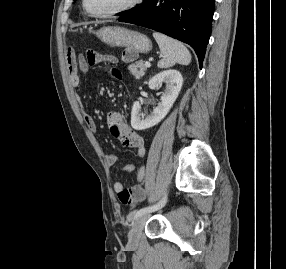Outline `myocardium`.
Here are the masks:
<instances>
[{
    "instance_id": "1",
    "label": "myocardium",
    "mask_w": 286,
    "mask_h": 269,
    "mask_svg": "<svg viewBox=\"0 0 286 269\" xmlns=\"http://www.w3.org/2000/svg\"><path fill=\"white\" fill-rule=\"evenodd\" d=\"M142 2H143V0H129L125 5L117 8V9L105 12V13H92L88 8L87 0H83L82 5H83L84 11L90 17L98 18V19H105V18H111V17L117 16V15L122 14V13H126V12L134 9L138 5H140Z\"/></svg>"
}]
</instances>
